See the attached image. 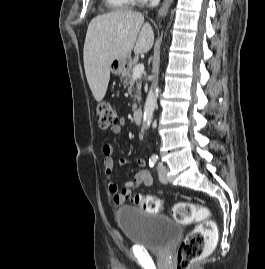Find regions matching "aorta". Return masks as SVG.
<instances>
[{
  "instance_id": "obj_1",
  "label": "aorta",
  "mask_w": 265,
  "mask_h": 269,
  "mask_svg": "<svg viewBox=\"0 0 265 269\" xmlns=\"http://www.w3.org/2000/svg\"><path fill=\"white\" fill-rule=\"evenodd\" d=\"M157 96H158L157 81L154 80L147 95L143 111V122L147 126H149L152 122L154 108L157 102Z\"/></svg>"
}]
</instances>
